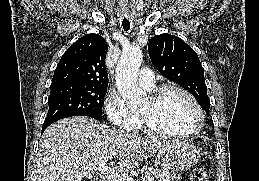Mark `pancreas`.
<instances>
[{"label":"pancreas","instance_id":"1","mask_svg":"<svg viewBox=\"0 0 259 181\" xmlns=\"http://www.w3.org/2000/svg\"><path fill=\"white\" fill-rule=\"evenodd\" d=\"M141 173L144 174L145 178L150 177L158 181H174L175 179L181 178V176L176 172H169L166 169H158L150 166H144L141 169Z\"/></svg>","mask_w":259,"mask_h":181}]
</instances>
